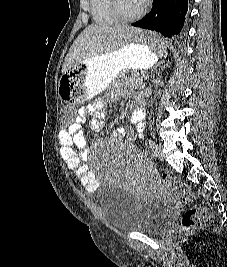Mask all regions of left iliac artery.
Segmentation results:
<instances>
[{
    "instance_id": "left-iliac-artery-1",
    "label": "left iliac artery",
    "mask_w": 227,
    "mask_h": 267,
    "mask_svg": "<svg viewBox=\"0 0 227 267\" xmlns=\"http://www.w3.org/2000/svg\"><path fill=\"white\" fill-rule=\"evenodd\" d=\"M154 145H155L154 141L150 140L149 141V146H150L151 149L154 148Z\"/></svg>"
}]
</instances>
